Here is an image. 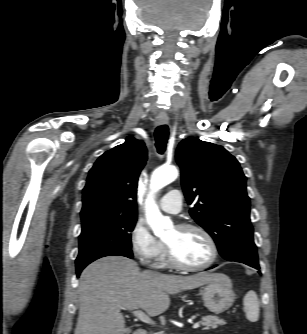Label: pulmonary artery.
Returning <instances> with one entry per match:
<instances>
[{"label": "pulmonary artery", "mask_w": 307, "mask_h": 334, "mask_svg": "<svg viewBox=\"0 0 307 334\" xmlns=\"http://www.w3.org/2000/svg\"><path fill=\"white\" fill-rule=\"evenodd\" d=\"M183 198L180 190L172 189L168 191L159 201L161 210L167 213H178L182 209Z\"/></svg>", "instance_id": "e3ab8cb5"}]
</instances>
